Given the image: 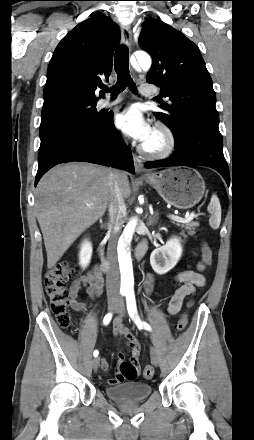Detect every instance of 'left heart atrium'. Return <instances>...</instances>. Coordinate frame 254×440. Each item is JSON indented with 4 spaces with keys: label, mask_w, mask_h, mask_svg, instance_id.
<instances>
[{
    "label": "left heart atrium",
    "mask_w": 254,
    "mask_h": 440,
    "mask_svg": "<svg viewBox=\"0 0 254 440\" xmlns=\"http://www.w3.org/2000/svg\"><path fill=\"white\" fill-rule=\"evenodd\" d=\"M115 125L127 136L145 144L153 133V128L142 111L132 106L115 117Z\"/></svg>",
    "instance_id": "left-heart-atrium-1"
}]
</instances>
